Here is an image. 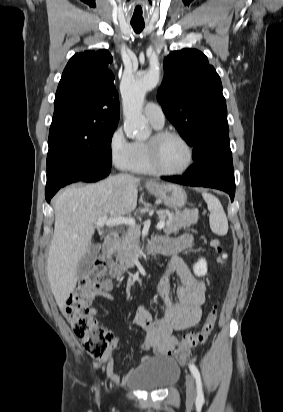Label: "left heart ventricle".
Instances as JSON below:
<instances>
[{"label": "left heart ventricle", "mask_w": 283, "mask_h": 412, "mask_svg": "<svg viewBox=\"0 0 283 412\" xmlns=\"http://www.w3.org/2000/svg\"><path fill=\"white\" fill-rule=\"evenodd\" d=\"M158 161L162 169L178 171L182 169L188 161V150L177 138L168 137L160 144Z\"/></svg>", "instance_id": "left-heart-ventricle-1"}]
</instances>
